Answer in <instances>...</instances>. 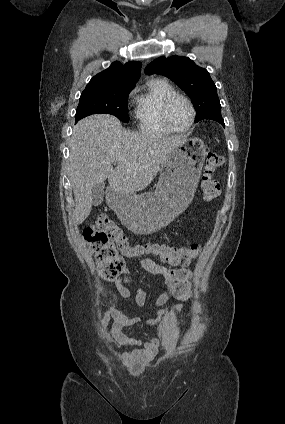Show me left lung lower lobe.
I'll list each match as a JSON object with an SVG mask.
<instances>
[{"label":"left lung lower lobe","mask_w":285,"mask_h":424,"mask_svg":"<svg viewBox=\"0 0 285 424\" xmlns=\"http://www.w3.org/2000/svg\"><path fill=\"white\" fill-rule=\"evenodd\" d=\"M207 119L217 121V122H219L222 126H224V127H225L224 120H223V118H222V116H221V113H217V114L210 115Z\"/></svg>","instance_id":"left-lung-lower-lobe-1"}]
</instances>
